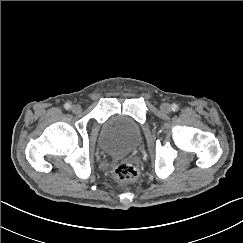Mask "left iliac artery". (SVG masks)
I'll list each match as a JSON object with an SVG mask.
<instances>
[{"mask_svg":"<svg viewBox=\"0 0 243 243\" xmlns=\"http://www.w3.org/2000/svg\"><path fill=\"white\" fill-rule=\"evenodd\" d=\"M172 110L173 111H177L178 110V105L177 104H173L172 105Z\"/></svg>","mask_w":243,"mask_h":243,"instance_id":"left-iliac-artery-1","label":"left iliac artery"}]
</instances>
